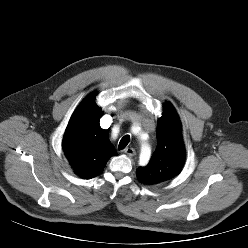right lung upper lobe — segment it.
<instances>
[{
	"label": "right lung upper lobe",
	"instance_id": "1",
	"mask_svg": "<svg viewBox=\"0 0 248 248\" xmlns=\"http://www.w3.org/2000/svg\"><path fill=\"white\" fill-rule=\"evenodd\" d=\"M89 95L75 111L63 136L62 147L75 173L91 179L102 173L116 155L106 130L99 125L101 109Z\"/></svg>",
	"mask_w": 248,
	"mask_h": 248
}]
</instances>
